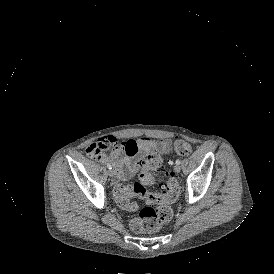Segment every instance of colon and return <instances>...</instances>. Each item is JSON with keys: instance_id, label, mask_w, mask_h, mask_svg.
Instances as JSON below:
<instances>
[{"instance_id": "5ec220e1", "label": "colon", "mask_w": 274, "mask_h": 274, "mask_svg": "<svg viewBox=\"0 0 274 274\" xmlns=\"http://www.w3.org/2000/svg\"><path fill=\"white\" fill-rule=\"evenodd\" d=\"M175 150L183 159L192 157L190 144L184 141L175 143ZM102 152V151H85ZM139 167L141 174L133 184H118L114 189V197L118 205L127 211L133 212L138 203L133 197H148L154 205H145L140 212L129 219V227L135 233H151L160 229L172 217L171 205L178 198L180 186L172 173L164 175L161 157L154 155L141 160ZM162 181L164 191L161 196L148 193V187Z\"/></svg>"}]
</instances>
